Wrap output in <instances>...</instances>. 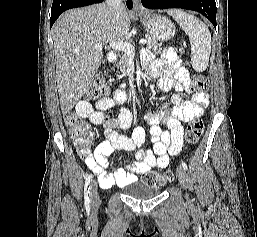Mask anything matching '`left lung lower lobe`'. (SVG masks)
I'll use <instances>...</instances> for the list:
<instances>
[{
  "instance_id": "0a47b994",
  "label": "left lung lower lobe",
  "mask_w": 257,
  "mask_h": 237,
  "mask_svg": "<svg viewBox=\"0 0 257 237\" xmlns=\"http://www.w3.org/2000/svg\"><path fill=\"white\" fill-rule=\"evenodd\" d=\"M149 9L182 8L194 10L207 17L216 28L215 0H141Z\"/></svg>"
}]
</instances>
